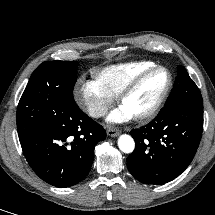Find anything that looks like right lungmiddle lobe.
<instances>
[{"mask_svg": "<svg viewBox=\"0 0 215 215\" xmlns=\"http://www.w3.org/2000/svg\"><path fill=\"white\" fill-rule=\"evenodd\" d=\"M76 61H46L32 73L17 108L19 140L74 109Z\"/></svg>", "mask_w": 215, "mask_h": 215, "instance_id": "obj_1", "label": "right lung middle lobe"}]
</instances>
